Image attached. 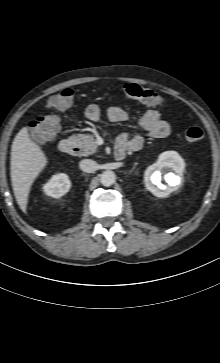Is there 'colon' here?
<instances>
[{
	"label": "colon",
	"mask_w": 220,
	"mask_h": 363,
	"mask_svg": "<svg viewBox=\"0 0 220 363\" xmlns=\"http://www.w3.org/2000/svg\"><path fill=\"white\" fill-rule=\"evenodd\" d=\"M125 97L138 99L152 107H162L164 98L157 92L135 83H125L117 87ZM75 99V92L71 88H64L53 94L47 104L48 112L29 124L31 136L38 142H45L57 135L60 129L58 112L70 108ZM185 139L192 143H201L204 132L199 127H189L184 133Z\"/></svg>",
	"instance_id": "colon-1"
}]
</instances>
